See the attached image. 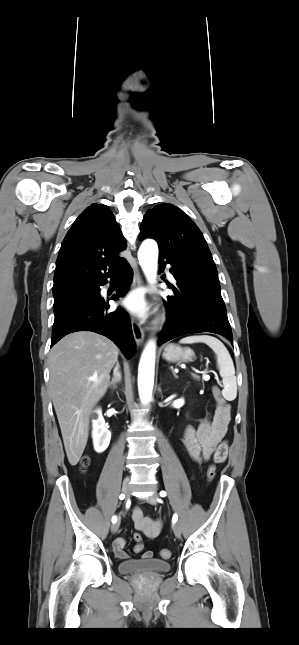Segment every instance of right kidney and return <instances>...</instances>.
Here are the masks:
<instances>
[{
  "label": "right kidney",
  "mask_w": 299,
  "mask_h": 645,
  "mask_svg": "<svg viewBox=\"0 0 299 645\" xmlns=\"http://www.w3.org/2000/svg\"><path fill=\"white\" fill-rule=\"evenodd\" d=\"M96 416L92 420V439L94 449L97 453L104 452L110 443L111 432L105 426V420L101 409L94 411Z\"/></svg>",
  "instance_id": "1"
}]
</instances>
